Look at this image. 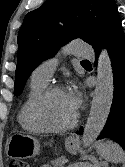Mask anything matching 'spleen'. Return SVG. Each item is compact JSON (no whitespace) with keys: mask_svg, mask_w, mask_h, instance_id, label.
Instances as JSON below:
<instances>
[{"mask_svg":"<svg viewBox=\"0 0 125 167\" xmlns=\"http://www.w3.org/2000/svg\"><path fill=\"white\" fill-rule=\"evenodd\" d=\"M95 146L97 153L108 162L120 163L125 160V153L122 148L110 140L98 142Z\"/></svg>","mask_w":125,"mask_h":167,"instance_id":"3e777b00","label":"spleen"}]
</instances>
